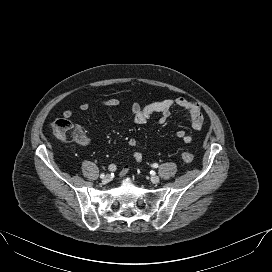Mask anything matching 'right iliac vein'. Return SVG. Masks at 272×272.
I'll use <instances>...</instances> for the list:
<instances>
[{
	"label": "right iliac vein",
	"instance_id": "1",
	"mask_svg": "<svg viewBox=\"0 0 272 272\" xmlns=\"http://www.w3.org/2000/svg\"><path fill=\"white\" fill-rule=\"evenodd\" d=\"M111 181V176L110 175H106L104 178H103V183H108Z\"/></svg>",
	"mask_w": 272,
	"mask_h": 272
}]
</instances>
